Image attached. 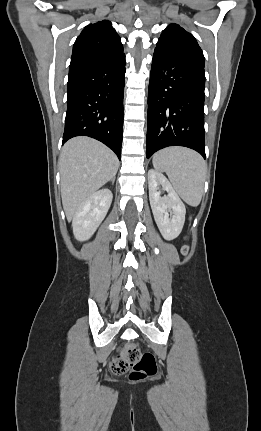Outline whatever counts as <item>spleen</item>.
<instances>
[{"label":"spleen","instance_id":"obj_1","mask_svg":"<svg viewBox=\"0 0 261 431\" xmlns=\"http://www.w3.org/2000/svg\"><path fill=\"white\" fill-rule=\"evenodd\" d=\"M153 166L166 172L173 188L188 205L200 204L206 164L198 153L181 147L166 148L153 156Z\"/></svg>","mask_w":261,"mask_h":431}]
</instances>
